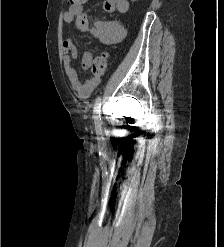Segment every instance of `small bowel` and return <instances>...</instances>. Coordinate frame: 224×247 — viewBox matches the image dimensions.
Masks as SVG:
<instances>
[{"instance_id":"c3829d8e","label":"small bowel","mask_w":224,"mask_h":247,"mask_svg":"<svg viewBox=\"0 0 224 247\" xmlns=\"http://www.w3.org/2000/svg\"><path fill=\"white\" fill-rule=\"evenodd\" d=\"M89 0H86L88 2ZM85 2V3H86ZM129 3L127 0H105L103 9L107 13L118 12L124 14L128 11ZM63 19L66 23H75L80 32L90 31L93 37L103 44H115L120 42L126 34L123 25L116 20L90 21L89 16L83 10V6L70 7L65 11ZM64 52L63 62L67 79L71 88L80 98H88L93 90L99 85L100 77L95 76L89 80L81 81L73 65V61L78 56V50L74 44L72 36L65 38L62 42ZM93 55L91 52H84L81 57V67L88 69L91 66Z\"/></svg>"}]
</instances>
